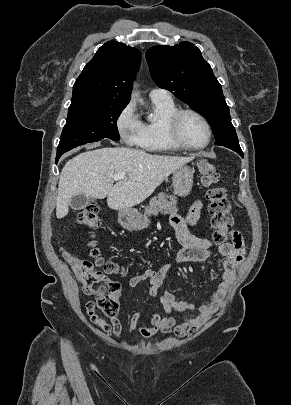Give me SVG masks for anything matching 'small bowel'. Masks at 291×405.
Listing matches in <instances>:
<instances>
[{
    "instance_id": "obj_1",
    "label": "small bowel",
    "mask_w": 291,
    "mask_h": 405,
    "mask_svg": "<svg viewBox=\"0 0 291 405\" xmlns=\"http://www.w3.org/2000/svg\"><path fill=\"white\" fill-rule=\"evenodd\" d=\"M203 206V202L198 200L190 207L185 218L176 214L171 216V224L175 229L177 240L182 245V249L177 255V264L201 262L211 255L214 247L210 239L195 236L188 230L189 226L196 225L198 222ZM231 236V243L219 244L215 247V250L225 257L222 263L223 271L216 282L215 290L203 305L196 306L192 303L177 302L175 300L174 295L165 286L167 273L171 269L170 264L162 266L157 271L147 269L131 277L129 280L131 288H135L145 280L149 281V294L154 301L159 299L163 305L165 315L159 313L153 314L150 318L149 326H144L140 325L142 319L141 313L133 312L129 319L130 333L138 331L141 336L151 338L157 334L173 332L177 337H184L194 333L203 326L219 308L229 287L234 282L237 268L243 262L246 254L241 234L237 231H232ZM86 311L90 319L104 332H112L118 337L122 334V324L115 315L110 317V322H107L95 313V306L92 302L87 303ZM186 311H194L196 314L186 317L180 324H177L174 315Z\"/></svg>"
}]
</instances>
